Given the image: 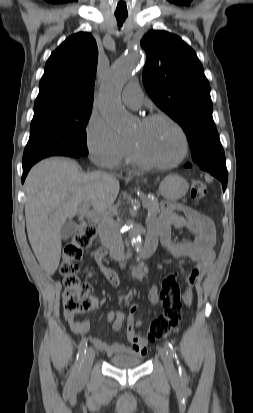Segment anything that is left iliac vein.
Instances as JSON below:
<instances>
[{
	"mask_svg": "<svg viewBox=\"0 0 253 413\" xmlns=\"http://www.w3.org/2000/svg\"><path fill=\"white\" fill-rule=\"evenodd\" d=\"M158 351L163 360L168 376L170 378H176L177 372L174 367L172 356L169 354L167 347H159Z\"/></svg>",
	"mask_w": 253,
	"mask_h": 413,
	"instance_id": "obj_1",
	"label": "left iliac vein"
}]
</instances>
